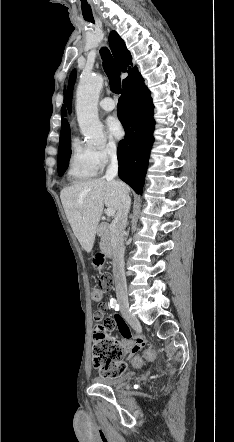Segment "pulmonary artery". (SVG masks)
I'll return each instance as SVG.
<instances>
[{
  "instance_id": "e3ab8cb5",
  "label": "pulmonary artery",
  "mask_w": 234,
  "mask_h": 442,
  "mask_svg": "<svg viewBox=\"0 0 234 442\" xmlns=\"http://www.w3.org/2000/svg\"><path fill=\"white\" fill-rule=\"evenodd\" d=\"M99 106L102 110L110 112L115 109L116 104L110 97H106L100 101Z\"/></svg>"
}]
</instances>
